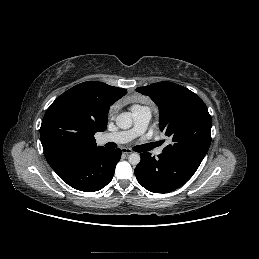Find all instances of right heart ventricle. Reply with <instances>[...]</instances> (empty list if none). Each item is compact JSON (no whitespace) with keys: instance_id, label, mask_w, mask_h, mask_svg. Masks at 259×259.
<instances>
[{"instance_id":"right-heart-ventricle-1","label":"right heart ventricle","mask_w":259,"mask_h":259,"mask_svg":"<svg viewBox=\"0 0 259 259\" xmlns=\"http://www.w3.org/2000/svg\"><path fill=\"white\" fill-rule=\"evenodd\" d=\"M135 107H138V106H133L132 108H135Z\"/></svg>"}]
</instances>
